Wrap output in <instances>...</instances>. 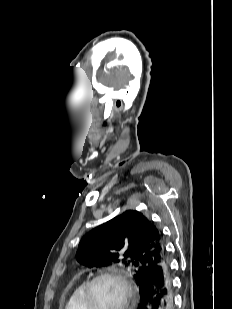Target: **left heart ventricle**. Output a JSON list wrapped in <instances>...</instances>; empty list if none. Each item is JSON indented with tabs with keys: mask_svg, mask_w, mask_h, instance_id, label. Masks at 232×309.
<instances>
[{
	"mask_svg": "<svg viewBox=\"0 0 232 309\" xmlns=\"http://www.w3.org/2000/svg\"><path fill=\"white\" fill-rule=\"evenodd\" d=\"M123 301L122 286L110 278L101 279L92 289L94 309H119Z\"/></svg>",
	"mask_w": 232,
	"mask_h": 309,
	"instance_id": "1",
	"label": "left heart ventricle"
}]
</instances>
